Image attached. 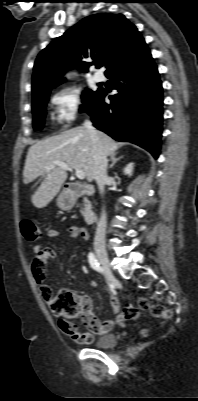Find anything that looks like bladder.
Wrapping results in <instances>:
<instances>
[{
  "instance_id": "1",
  "label": "bladder",
  "mask_w": 198,
  "mask_h": 401,
  "mask_svg": "<svg viewBox=\"0 0 198 401\" xmlns=\"http://www.w3.org/2000/svg\"><path fill=\"white\" fill-rule=\"evenodd\" d=\"M116 336L112 333H104L97 337L94 346L96 348H113L116 345Z\"/></svg>"
}]
</instances>
